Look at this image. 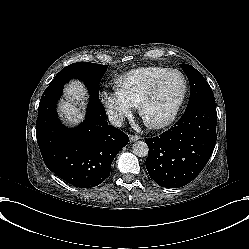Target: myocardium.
<instances>
[{"label": "myocardium", "instance_id": "obj_1", "mask_svg": "<svg viewBox=\"0 0 249 249\" xmlns=\"http://www.w3.org/2000/svg\"><path fill=\"white\" fill-rule=\"evenodd\" d=\"M172 76H178L182 84L181 94L176 102L174 109L172 110L171 114L162 121H151L147 119L144 115L145 107L149 102H151L155 98L158 91L170 80ZM185 94H186V82L183 74L178 70H172L166 73L162 78L159 79V81L155 84V86L152 88L149 94L138 105L137 114L139 119L149 128H162L169 125L177 116L181 108V105L183 103V100L185 98Z\"/></svg>", "mask_w": 249, "mask_h": 249}]
</instances>
